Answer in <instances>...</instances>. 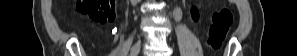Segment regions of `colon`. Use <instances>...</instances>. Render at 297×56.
Wrapping results in <instances>:
<instances>
[{
  "instance_id": "5ec220e1",
  "label": "colon",
  "mask_w": 297,
  "mask_h": 56,
  "mask_svg": "<svg viewBox=\"0 0 297 56\" xmlns=\"http://www.w3.org/2000/svg\"><path fill=\"white\" fill-rule=\"evenodd\" d=\"M77 6L99 23H105L114 17L113 0H79ZM232 22L233 14L229 9L223 8L214 13L207 41L210 49L218 50L221 47Z\"/></svg>"
}]
</instances>
